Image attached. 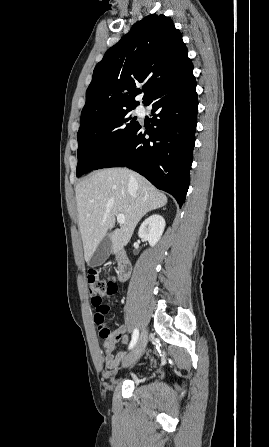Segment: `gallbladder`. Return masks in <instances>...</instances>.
Returning a JSON list of instances; mask_svg holds the SVG:
<instances>
[{"instance_id": "1", "label": "gallbladder", "mask_w": 269, "mask_h": 447, "mask_svg": "<svg viewBox=\"0 0 269 447\" xmlns=\"http://www.w3.org/2000/svg\"><path fill=\"white\" fill-rule=\"evenodd\" d=\"M112 251V241H111V233H107L105 237H103L101 243H99L98 247H96L91 259L88 261V265L90 267H96V265H102L105 259L109 257Z\"/></svg>"}]
</instances>
